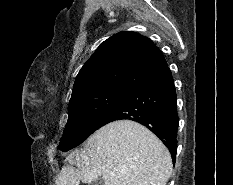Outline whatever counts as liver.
<instances>
[{"label":"liver","mask_w":233,"mask_h":185,"mask_svg":"<svg viewBox=\"0 0 233 185\" xmlns=\"http://www.w3.org/2000/svg\"><path fill=\"white\" fill-rule=\"evenodd\" d=\"M56 185L102 178L104 185H166L172 172L168 149L146 127L131 120L111 122L66 157ZM113 173V175H112Z\"/></svg>","instance_id":"6515ba94"}]
</instances>
